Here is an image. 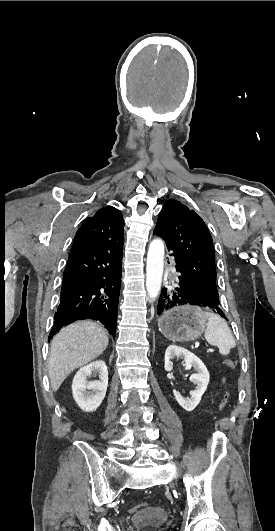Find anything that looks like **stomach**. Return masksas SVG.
<instances>
[{"label":"stomach","instance_id":"stomach-1","mask_svg":"<svg viewBox=\"0 0 275 531\" xmlns=\"http://www.w3.org/2000/svg\"><path fill=\"white\" fill-rule=\"evenodd\" d=\"M207 325V317L194 301H180L158 319L159 331L170 341H196Z\"/></svg>","mask_w":275,"mask_h":531}]
</instances>
